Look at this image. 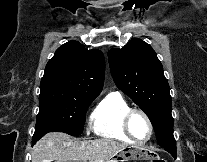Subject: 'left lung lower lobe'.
<instances>
[{
    "instance_id": "0a47b994",
    "label": "left lung lower lobe",
    "mask_w": 207,
    "mask_h": 162,
    "mask_svg": "<svg viewBox=\"0 0 207 162\" xmlns=\"http://www.w3.org/2000/svg\"><path fill=\"white\" fill-rule=\"evenodd\" d=\"M164 150L169 152L174 159H176V143H172L163 147Z\"/></svg>"
}]
</instances>
